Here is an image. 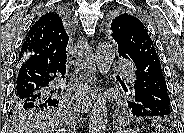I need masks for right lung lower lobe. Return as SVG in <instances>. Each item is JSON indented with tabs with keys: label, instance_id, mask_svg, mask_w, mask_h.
I'll list each match as a JSON object with an SVG mask.
<instances>
[{
	"label": "right lung lower lobe",
	"instance_id": "1",
	"mask_svg": "<svg viewBox=\"0 0 184 133\" xmlns=\"http://www.w3.org/2000/svg\"><path fill=\"white\" fill-rule=\"evenodd\" d=\"M61 11V10H60ZM64 15L69 28L71 20L66 12ZM66 59L48 61L41 56L24 58L16 68L15 88L13 100L17 104L32 106H49L57 102L62 103V93L50 88V82L61 73H66Z\"/></svg>",
	"mask_w": 184,
	"mask_h": 133
}]
</instances>
